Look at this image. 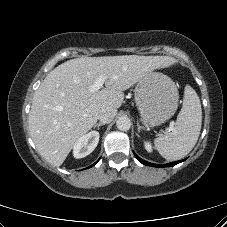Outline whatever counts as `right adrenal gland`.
<instances>
[{
	"label": "right adrenal gland",
	"instance_id": "right-adrenal-gland-1",
	"mask_svg": "<svg viewBox=\"0 0 227 227\" xmlns=\"http://www.w3.org/2000/svg\"><path fill=\"white\" fill-rule=\"evenodd\" d=\"M103 125H105L104 123H101V122H99V123H97V124H95L94 125V128L95 127H97L98 128V130L100 129V126H103Z\"/></svg>",
	"mask_w": 227,
	"mask_h": 227
}]
</instances>
